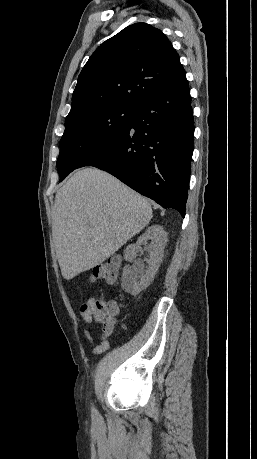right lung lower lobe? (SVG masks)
Returning a JSON list of instances; mask_svg holds the SVG:
<instances>
[{
	"label": "right lung lower lobe",
	"mask_w": 257,
	"mask_h": 459,
	"mask_svg": "<svg viewBox=\"0 0 257 459\" xmlns=\"http://www.w3.org/2000/svg\"><path fill=\"white\" fill-rule=\"evenodd\" d=\"M194 139L186 75L136 106L124 132L80 167L117 177L164 208L185 216Z\"/></svg>",
	"instance_id": "obj_1"
}]
</instances>
